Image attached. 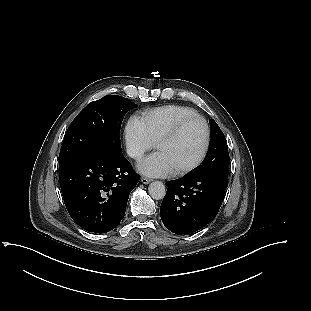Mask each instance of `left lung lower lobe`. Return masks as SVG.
I'll list each match as a JSON object with an SVG mask.
<instances>
[{"label":"left lung lower lobe","mask_w":311,"mask_h":311,"mask_svg":"<svg viewBox=\"0 0 311 311\" xmlns=\"http://www.w3.org/2000/svg\"><path fill=\"white\" fill-rule=\"evenodd\" d=\"M166 186L160 207L163 224L173 233L190 234L215 218L228 181L215 174H201L167 182Z\"/></svg>","instance_id":"1"}]
</instances>
